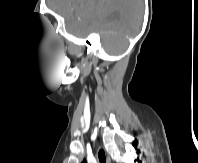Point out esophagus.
<instances>
[{"mask_svg":"<svg viewBox=\"0 0 198 163\" xmlns=\"http://www.w3.org/2000/svg\"><path fill=\"white\" fill-rule=\"evenodd\" d=\"M107 163H111V160L108 156H107Z\"/></svg>","mask_w":198,"mask_h":163,"instance_id":"34e87169","label":"esophagus"}]
</instances>
